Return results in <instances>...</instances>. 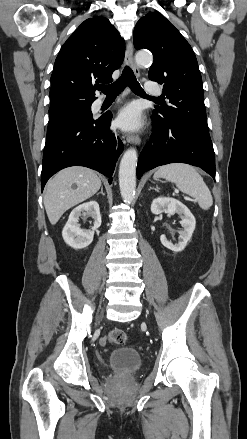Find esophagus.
<instances>
[{
    "instance_id": "esophagus-1",
    "label": "esophagus",
    "mask_w": 247,
    "mask_h": 439,
    "mask_svg": "<svg viewBox=\"0 0 247 439\" xmlns=\"http://www.w3.org/2000/svg\"><path fill=\"white\" fill-rule=\"evenodd\" d=\"M134 49H133V43L132 41H128L127 45H126V52H125V63L132 68V70L134 71V73L139 76V68L137 67V65L135 64L134 61ZM126 141L128 143H132V144H136L139 145L140 144V137L138 135H127L126 136Z\"/></svg>"
}]
</instances>
